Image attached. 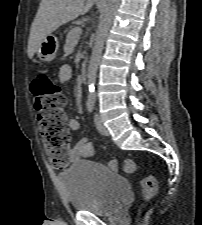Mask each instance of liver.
Here are the masks:
<instances>
[{
  "label": "liver",
  "instance_id": "obj_1",
  "mask_svg": "<svg viewBox=\"0 0 202 225\" xmlns=\"http://www.w3.org/2000/svg\"><path fill=\"white\" fill-rule=\"evenodd\" d=\"M96 0H42L30 29L28 57L36 53L41 41L60 26L86 14Z\"/></svg>",
  "mask_w": 202,
  "mask_h": 225
}]
</instances>
